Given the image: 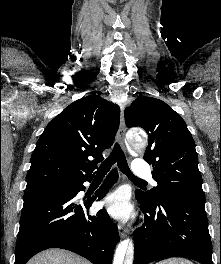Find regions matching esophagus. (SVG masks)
Returning a JSON list of instances; mask_svg holds the SVG:
<instances>
[{
	"label": "esophagus",
	"mask_w": 221,
	"mask_h": 264,
	"mask_svg": "<svg viewBox=\"0 0 221 264\" xmlns=\"http://www.w3.org/2000/svg\"><path fill=\"white\" fill-rule=\"evenodd\" d=\"M120 127H119V133H118V138L119 142L122 147H124V139H125V133H126V124H125V118H124V106H120ZM119 230V235L121 238L125 237L126 234L128 233V230L125 229L123 226L119 225L118 226Z\"/></svg>",
	"instance_id": "1"
}]
</instances>
